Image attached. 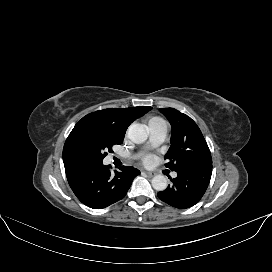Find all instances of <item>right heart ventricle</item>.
Masks as SVG:
<instances>
[{
	"mask_svg": "<svg viewBox=\"0 0 272 272\" xmlns=\"http://www.w3.org/2000/svg\"><path fill=\"white\" fill-rule=\"evenodd\" d=\"M161 121H163L161 118L154 117V118L149 120V125L150 124H155V123H158V122H161Z\"/></svg>",
	"mask_w": 272,
	"mask_h": 272,
	"instance_id": "right-heart-ventricle-1",
	"label": "right heart ventricle"
}]
</instances>
